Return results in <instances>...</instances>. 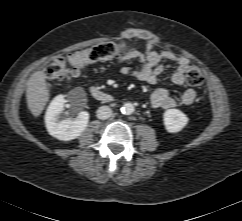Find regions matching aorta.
Returning <instances> with one entry per match:
<instances>
[{
    "mask_svg": "<svg viewBox=\"0 0 242 221\" xmlns=\"http://www.w3.org/2000/svg\"><path fill=\"white\" fill-rule=\"evenodd\" d=\"M122 114L130 115L135 111L134 105L130 102L125 103L121 109Z\"/></svg>",
    "mask_w": 242,
    "mask_h": 221,
    "instance_id": "obj_1",
    "label": "aorta"
}]
</instances>
